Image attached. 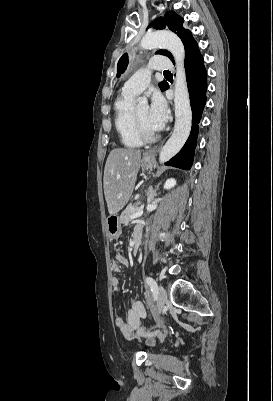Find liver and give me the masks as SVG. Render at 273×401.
I'll return each instance as SVG.
<instances>
[{
	"instance_id": "liver-1",
	"label": "liver",
	"mask_w": 273,
	"mask_h": 401,
	"mask_svg": "<svg viewBox=\"0 0 273 401\" xmlns=\"http://www.w3.org/2000/svg\"><path fill=\"white\" fill-rule=\"evenodd\" d=\"M141 150L113 148L104 168V194L109 215H117L133 192L140 168Z\"/></svg>"
}]
</instances>
